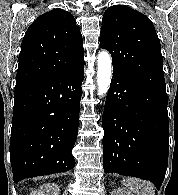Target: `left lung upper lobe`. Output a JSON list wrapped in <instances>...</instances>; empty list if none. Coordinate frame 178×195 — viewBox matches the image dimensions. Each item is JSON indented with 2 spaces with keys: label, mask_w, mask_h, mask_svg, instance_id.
<instances>
[{
  "label": "left lung upper lobe",
  "mask_w": 178,
  "mask_h": 195,
  "mask_svg": "<svg viewBox=\"0 0 178 195\" xmlns=\"http://www.w3.org/2000/svg\"><path fill=\"white\" fill-rule=\"evenodd\" d=\"M99 40L100 47L111 53L113 71L166 92L160 41L145 15L126 6L109 7Z\"/></svg>",
  "instance_id": "obj_1"
}]
</instances>
